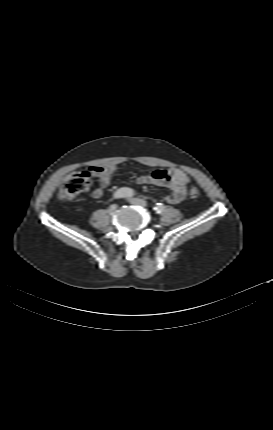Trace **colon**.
Returning <instances> with one entry per match:
<instances>
[{"instance_id":"colon-1","label":"colon","mask_w":273,"mask_h":430,"mask_svg":"<svg viewBox=\"0 0 273 430\" xmlns=\"http://www.w3.org/2000/svg\"><path fill=\"white\" fill-rule=\"evenodd\" d=\"M91 184V168L89 171H78L69 175L63 182L58 198L63 201L74 199L81 192L87 190ZM200 192L197 188L192 187L189 190L190 198H197Z\"/></svg>"}]
</instances>
